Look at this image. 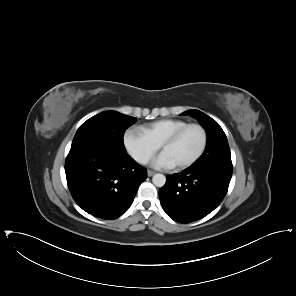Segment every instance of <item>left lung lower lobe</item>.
Here are the masks:
<instances>
[{"mask_svg": "<svg viewBox=\"0 0 296 296\" xmlns=\"http://www.w3.org/2000/svg\"><path fill=\"white\" fill-rule=\"evenodd\" d=\"M232 165L197 166L168 175L159 191L164 211L175 221L189 223L212 212L225 197Z\"/></svg>", "mask_w": 296, "mask_h": 296, "instance_id": "obj_1", "label": "left lung lower lobe"}]
</instances>
